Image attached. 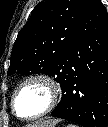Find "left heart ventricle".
Instances as JSON below:
<instances>
[{
  "instance_id": "left-heart-ventricle-1",
  "label": "left heart ventricle",
  "mask_w": 108,
  "mask_h": 127,
  "mask_svg": "<svg viewBox=\"0 0 108 127\" xmlns=\"http://www.w3.org/2000/svg\"><path fill=\"white\" fill-rule=\"evenodd\" d=\"M47 89L38 83L26 86L16 98V110L23 117L41 112L48 103Z\"/></svg>"
}]
</instances>
